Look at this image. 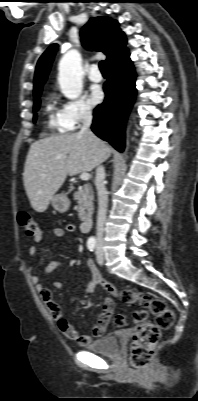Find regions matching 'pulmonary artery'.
Wrapping results in <instances>:
<instances>
[{
	"mask_svg": "<svg viewBox=\"0 0 198 401\" xmlns=\"http://www.w3.org/2000/svg\"><path fill=\"white\" fill-rule=\"evenodd\" d=\"M88 78L91 82L94 83H99L102 81L103 77L97 64L91 65L88 73Z\"/></svg>",
	"mask_w": 198,
	"mask_h": 401,
	"instance_id": "1",
	"label": "pulmonary artery"
}]
</instances>
